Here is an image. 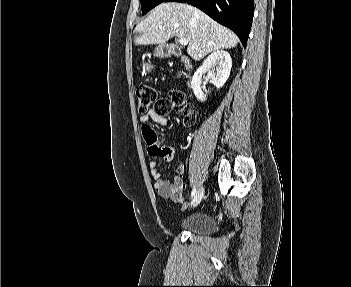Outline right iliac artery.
I'll return each instance as SVG.
<instances>
[{
    "mask_svg": "<svg viewBox=\"0 0 351 287\" xmlns=\"http://www.w3.org/2000/svg\"><path fill=\"white\" fill-rule=\"evenodd\" d=\"M196 194V188L194 187L191 192V197H193Z\"/></svg>",
    "mask_w": 351,
    "mask_h": 287,
    "instance_id": "right-iliac-artery-1",
    "label": "right iliac artery"
}]
</instances>
